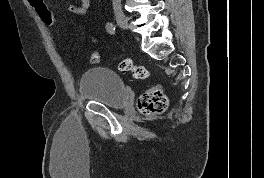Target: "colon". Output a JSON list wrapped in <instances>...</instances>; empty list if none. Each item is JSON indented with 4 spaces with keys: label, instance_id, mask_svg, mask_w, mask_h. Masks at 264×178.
I'll use <instances>...</instances> for the list:
<instances>
[{
    "label": "colon",
    "instance_id": "obj_1",
    "mask_svg": "<svg viewBox=\"0 0 264 178\" xmlns=\"http://www.w3.org/2000/svg\"><path fill=\"white\" fill-rule=\"evenodd\" d=\"M28 2L44 25L52 27L57 24V21L45 3V0H28ZM101 59L102 56L98 52H93L89 56V62L92 64L99 63ZM119 69L124 74H131L137 80H145L149 77V71L146 67L135 65L128 59L123 60L120 63ZM167 106L168 99L162 89L158 86L147 89L137 100L139 111L146 116L160 114L167 109Z\"/></svg>",
    "mask_w": 264,
    "mask_h": 178
}]
</instances>
